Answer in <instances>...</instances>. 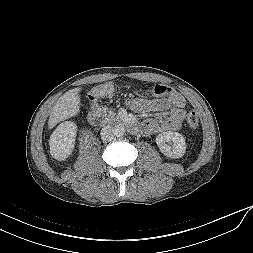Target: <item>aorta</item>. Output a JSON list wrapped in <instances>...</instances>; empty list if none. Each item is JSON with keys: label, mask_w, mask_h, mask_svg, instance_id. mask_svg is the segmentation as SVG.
Returning <instances> with one entry per match:
<instances>
[{"label": "aorta", "mask_w": 253, "mask_h": 253, "mask_svg": "<svg viewBox=\"0 0 253 253\" xmlns=\"http://www.w3.org/2000/svg\"><path fill=\"white\" fill-rule=\"evenodd\" d=\"M125 133V128L122 124H118L114 126V134L116 137H121Z\"/></svg>", "instance_id": "obj_1"}]
</instances>
